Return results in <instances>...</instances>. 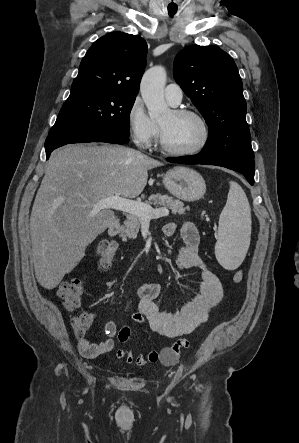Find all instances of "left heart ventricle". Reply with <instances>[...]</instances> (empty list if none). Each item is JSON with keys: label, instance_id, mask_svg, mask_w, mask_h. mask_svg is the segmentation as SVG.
<instances>
[{"label": "left heart ventricle", "instance_id": "b2bd125f", "mask_svg": "<svg viewBox=\"0 0 299 443\" xmlns=\"http://www.w3.org/2000/svg\"><path fill=\"white\" fill-rule=\"evenodd\" d=\"M165 144L172 149L195 147L202 138L200 123L193 117L176 116L169 112L159 120Z\"/></svg>", "mask_w": 299, "mask_h": 443}]
</instances>
